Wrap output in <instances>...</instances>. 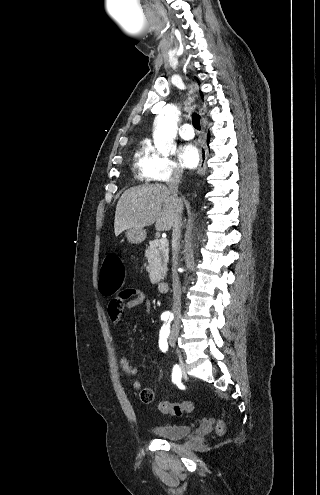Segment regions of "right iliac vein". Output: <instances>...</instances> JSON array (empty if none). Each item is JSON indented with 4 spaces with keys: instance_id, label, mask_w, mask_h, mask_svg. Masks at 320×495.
<instances>
[{
    "instance_id": "right-iliac-vein-1",
    "label": "right iliac vein",
    "mask_w": 320,
    "mask_h": 495,
    "mask_svg": "<svg viewBox=\"0 0 320 495\" xmlns=\"http://www.w3.org/2000/svg\"><path fill=\"white\" fill-rule=\"evenodd\" d=\"M175 340H176V338H175ZM178 353H179V357L181 358V355H180V352L179 351H178Z\"/></svg>"
}]
</instances>
